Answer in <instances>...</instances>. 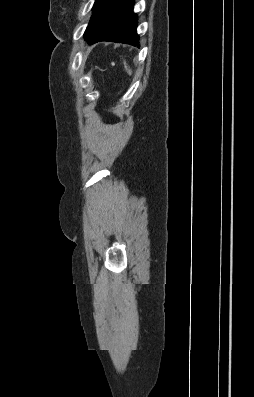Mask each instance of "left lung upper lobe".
Segmentation results:
<instances>
[{
    "label": "left lung upper lobe",
    "mask_w": 254,
    "mask_h": 397,
    "mask_svg": "<svg viewBox=\"0 0 254 397\" xmlns=\"http://www.w3.org/2000/svg\"><path fill=\"white\" fill-rule=\"evenodd\" d=\"M109 0H96L93 6V15L84 33L85 39L89 37L99 25Z\"/></svg>",
    "instance_id": "left-lung-upper-lobe-1"
}]
</instances>
